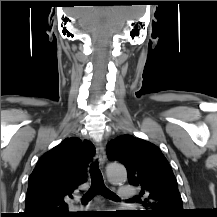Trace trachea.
Here are the masks:
<instances>
[{
  "label": "trachea",
  "instance_id": "3493384b",
  "mask_svg": "<svg viewBox=\"0 0 217 217\" xmlns=\"http://www.w3.org/2000/svg\"><path fill=\"white\" fill-rule=\"evenodd\" d=\"M91 187L82 197V203L87 204L96 194L111 200H118V196L110 191L104 184L102 174L98 167V162H94L90 166Z\"/></svg>",
  "mask_w": 217,
  "mask_h": 217
}]
</instances>
